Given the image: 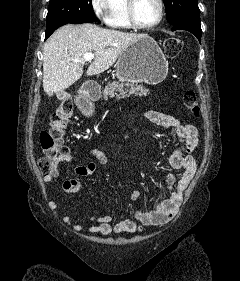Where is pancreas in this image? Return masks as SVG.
<instances>
[{"mask_svg": "<svg viewBox=\"0 0 240 281\" xmlns=\"http://www.w3.org/2000/svg\"><path fill=\"white\" fill-rule=\"evenodd\" d=\"M150 93V90L145 88L143 85L131 86L124 88L123 83L113 82L109 83L104 90L102 91V98L107 100L108 98L117 97L118 99L122 97L135 96H147Z\"/></svg>", "mask_w": 240, "mask_h": 281, "instance_id": "1", "label": "pancreas"}]
</instances>
